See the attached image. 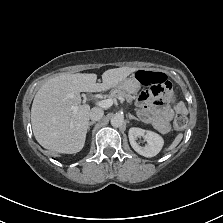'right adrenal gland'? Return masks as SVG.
Returning a JSON list of instances; mask_svg holds the SVG:
<instances>
[{
  "label": "right adrenal gland",
  "mask_w": 223,
  "mask_h": 223,
  "mask_svg": "<svg viewBox=\"0 0 223 223\" xmlns=\"http://www.w3.org/2000/svg\"><path fill=\"white\" fill-rule=\"evenodd\" d=\"M95 123H96L95 121H91V122H89V123H88V128H87V130L89 131V130H90V126L93 125V124H95Z\"/></svg>",
  "instance_id": "1"
}]
</instances>
